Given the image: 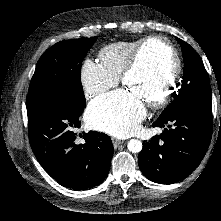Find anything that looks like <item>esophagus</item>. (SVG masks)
<instances>
[{"label": "esophagus", "mask_w": 221, "mask_h": 221, "mask_svg": "<svg viewBox=\"0 0 221 221\" xmlns=\"http://www.w3.org/2000/svg\"><path fill=\"white\" fill-rule=\"evenodd\" d=\"M124 141L122 140H119V139H116V138H112V143H113V146L115 148H117L120 144H122Z\"/></svg>", "instance_id": "esophagus-1"}]
</instances>
